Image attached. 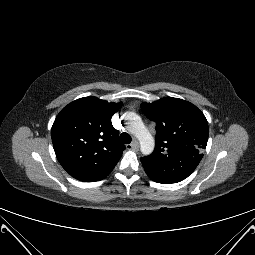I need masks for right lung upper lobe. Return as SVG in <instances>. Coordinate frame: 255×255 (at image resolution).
<instances>
[{
	"label": "right lung upper lobe",
	"instance_id": "obj_1",
	"mask_svg": "<svg viewBox=\"0 0 255 255\" xmlns=\"http://www.w3.org/2000/svg\"><path fill=\"white\" fill-rule=\"evenodd\" d=\"M121 105L89 96L71 102L57 115L51 129L53 147L75 179L102 180L119 161L125 146L111 118Z\"/></svg>",
	"mask_w": 255,
	"mask_h": 255
}]
</instances>
